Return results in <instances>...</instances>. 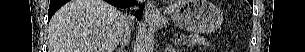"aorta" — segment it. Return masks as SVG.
<instances>
[{
	"label": "aorta",
	"instance_id": "762f6f07",
	"mask_svg": "<svg viewBox=\"0 0 305 52\" xmlns=\"http://www.w3.org/2000/svg\"><path fill=\"white\" fill-rule=\"evenodd\" d=\"M137 50L138 52H149L150 47L146 42H141Z\"/></svg>",
	"mask_w": 305,
	"mask_h": 52
}]
</instances>
